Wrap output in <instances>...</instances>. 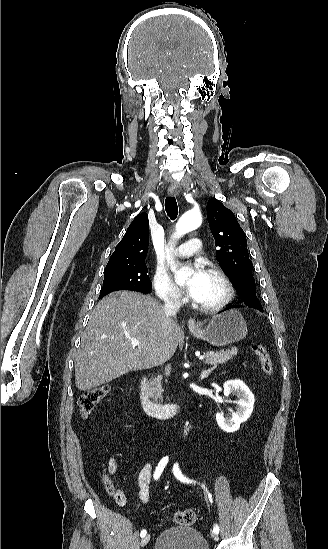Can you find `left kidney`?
Here are the masks:
<instances>
[{
	"mask_svg": "<svg viewBox=\"0 0 328 549\" xmlns=\"http://www.w3.org/2000/svg\"><path fill=\"white\" fill-rule=\"evenodd\" d=\"M223 387L225 397H228L230 393L237 395L239 399V401H236L238 405L237 413H232L231 417H226V419L223 413H216V421L220 429L227 431V433H234V431H238L241 423H245L249 419L253 411L255 399L247 385L243 381H239V379H236V381H226Z\"/></svg>",
	"mask_w": 328,
	"mask_h": 549,
	"instance_id": "obj_1",
	"label": "left kidney"
}]
</instances>
